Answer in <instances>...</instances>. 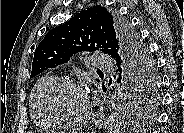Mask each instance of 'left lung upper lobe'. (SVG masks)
Returning a JSON list of instances; mask_svg holds the SVG:
<instances>
[{"label":"left lung upper lobe","instance_id":"5c2ea615","mask_svg":"<svg viewBox=\"0 0 184 133\" xmlns=\"http://www.w3.org/2000/svg\"><path fill=\"white\" fill-rule=\"evenodd\" d=\"M98 49L110 54L120 71L118 112L123 116L149 113L158 101L155 63L131 26L102 6L82 10L49 31L34 52L30 77L68 62L78 52Z\"/></svg>","mask_w":184,"mask_h":133}]
</instances>
